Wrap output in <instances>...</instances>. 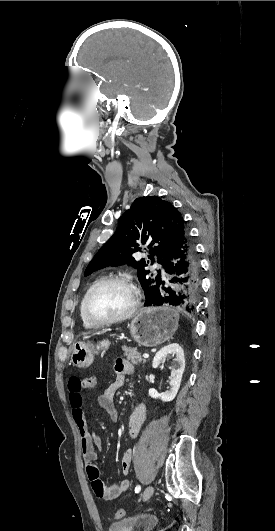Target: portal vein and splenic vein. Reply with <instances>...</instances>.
<instances>
[{
    "label": "portal vein and splenic vein",
    "mask_w": 275,
    "mask_h": 531,
    "mask_svg": "<svg viewBox=\"0 0 275 531\" xmlns=\"http://www.w3.org/2000/svg\"><path fill=\"white\" fill-rule=\"evenodd\" d=\"M144 359H148L149 355H147V353H145V355H143Z\"/></svg>",
    "instance_id": "portal-vein-and-splenic-vein-1"
}]
</instances>
